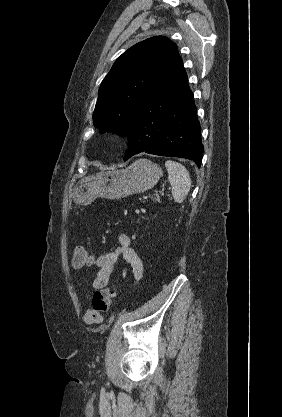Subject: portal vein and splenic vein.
I'll use <instances>...</instances> for the list:
<instances>
[{"label": "portal vein and splenic vein", "instance_id": "obj_1", "mask_svg": "<svg viewBox=\"0 0 282 417\" xmlns=\"http://www.w3.org/2000/svg\"><path fill=\"white\" fill-rule=\"evenodd\" d=\"M152 193L151 192H147L146 195H142L140 198V201H145L146 198L151 197Z\"/></svg>", "mask_w": 282, "mask_h": 417}]
</instances>
